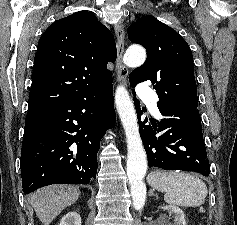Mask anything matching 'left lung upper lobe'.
I'll return each mask as SVG.
<instances>
[{
    "mask_svg": "<svg viewBox=\"0 0 237 225\" xmlns=\"http://www.w3.org/2000/svg\"><path fill=\"white\" fill-rule=\"evenodd\" d=\"M128 38L147 51L145 63L129 76L130 85L150 80L158 106L197 104V86L190 47L174 29L147 15L128 28Z\"/></svg>",
    "mask_w": 237,
    "mask_h": 225,
    "instance_id": "5c2ea615",
    "label": "left lung upper lobe"
}]
</instances>
